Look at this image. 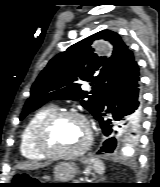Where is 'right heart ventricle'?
Here are the masks:
<instances>
[{
    "instance_id": "e07e8e85",
    "label": "right heart ventricle",
    "mask_w": 160,
    "mask_h": 187,
    "mask_svg": "<svg viewBox=\"0 0 160 187\" xmlns=\"http://www.w3.org/2000/svg\"><path fill=\"white\" fill-rule=\"evenodd\" d=\"M55 111L53 105L37 110L28 120L21 134L20 150L22 155L29 160H43L44 155L37 145V133L42 121Z\"/></svg>"
}]
</instances>
